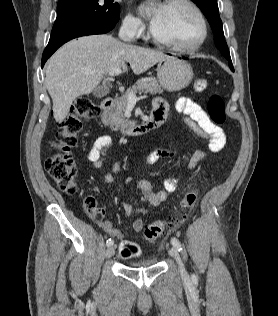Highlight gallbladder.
Segmentation results:
<instances>
[{
	"label": "gallbladder",
	"instance_id": "bac80fb5",
	"mask_svg": "<svg viewBox=\"0 0 278 316\" xmlns=\"http://www.w3.org/2000/svg\"><path fill=\"white\" fill-rule=\"evenodd\" d=\"M108 89L104 86H98L97 88L94 89L93 94L94 96L101 98L107 95Z\"/></svg>",
	"mask_w": 278,
	"mask_h": 316
}]
</instances>
